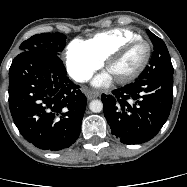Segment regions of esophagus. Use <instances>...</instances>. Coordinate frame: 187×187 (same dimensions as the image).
Instances as JSON below:
<instances>
[{
	"label": "esophagus",
	"mask_w": 187,
	"mask_h": 187,
	"mask_svg": "<svg viewBox=\"0 0 187 187\" xmlns=\"http://www.w3.org/2000/svg\"><path fill=\"white\" fill-rule=\"evenodd\" d=\"M84 94L86 95V97L91 100V99H94V98H97L100 94L99 92L97 91H93V90H90L88 88H85L83 90Z\"/></svg>",
	"instance_id": "esophagus-1"
}]
</instances>
